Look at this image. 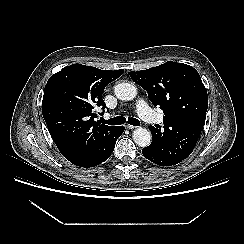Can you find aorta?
<instances>
[{
	"mask_svg": "<svg viewBox=\"0 0 244 244\" xmlns=\"http://www.w3.org/2000/svg\"><path fill=\"white\" fill-rule=\"evenodd\" d=\"M114 92L119 100L130 101L137 95V88L131 83H119L114 87ZM133 141L139 147H147L152 141L151 132L139 127L133 131Z\"/></svg>",
	"mask_w": 244,
	"mask_h": 244,
	"instance_id": "obj_1",
	"label": "aorta"
}]
</instances>
